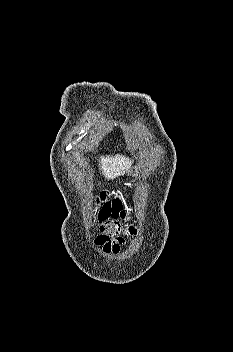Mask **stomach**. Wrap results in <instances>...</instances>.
Wrapping results in <instances>:
<instances>
[{
	"label": "stomach",
	"instance_id": "1",
	"mask_svg": "<svg viewBox=\"0 0 233 352\" xmlns=\"http://www.w3.org/2000/svg\"><path fill=\"white\" fill-rule=\"evenodd\" d=\"M128 174L130 176H137L138 175V168L137 167H133L132 169L128 170Z\"/></svg>",
	"mask_w": 233,
	"mask_h": 352
}]
</instances>
